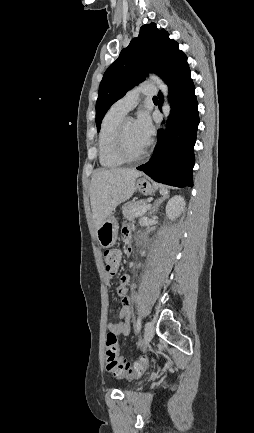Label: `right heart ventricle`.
<instances>
[{
  "label": "right heart ventricle",
  "instance_id": "right-heart-ventricle-1",
  "mask_svg": "<svg viewBox=\"0 0 254 433\" xmlns=\"http://www.w3.org/2000/svg\"><path fill=\"white\" fill-rule=\"evenodd\" d=\"M124 116L125 114L110 109L103 118L98 137V156L104 168H118L125 163L117 155L114 147L116 130Z\"/></svg>",
  "mask_w": 254,
  "mask_h": 433
}]
</instances>
